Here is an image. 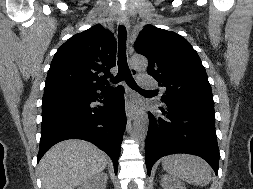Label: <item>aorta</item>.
Returning a JSON list of instances; mask_svg holds the SVG:
<instances>
[{"label":"aorta","mask_w":253,"mask_h":189,"mask_svg":"<svg viewBox=\"0 0 253 189\" xmlns=\"http://www.w3.org/2000/svg\"><path fill=\"white\" fill-rule=\"evenodd\" d=\"M132 64L140 69L147 68V60L141 56L132 57ZM149 126L148 114L145 110L137 112L133 123V135L137 141H144Z\"/></svg>","instance_id":"762f6f07"}]
</instances>
